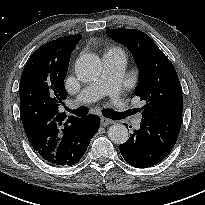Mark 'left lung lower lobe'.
Returning a JSON list of instances; mask_svg holds the SVG:
<instances>
[{"mask_svg":"<svg viewBox=\"0 0 205 205\" xmlns=\"http://www.w3.org/2000/svg\"><path fill=\"white\" fill-rule=\"evenodd\" d=\"M182 115L142 119L140 129L119 146L125 161L131 166L147 168L161 162L172 150L178 138Z\"/></svg>","mask_w":205,"mask_h":205,"instance_id":"0a47b994","label":"left lung lower lobe"}]
</instances>
